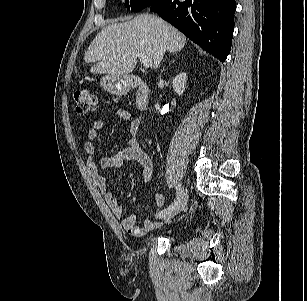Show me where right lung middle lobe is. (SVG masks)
Returning a JSON list of instances; mask_svg holds the SVG:
<instances>
[{"mask_svg": "<svg viewBox=\"0 0 307 301\" xmlns=\"http://www.w3.org/2000/svg\"><path fill=\"white\" fill-rule=\"evenodd\" d=\"M158 0H127L125 5L128 9H131L133 12L140 11L148 6L153 5Z\"/></svg>", "mask_w": 307, "mask_h": 301, "instance_id": "1", "label": "right lung middle lobe"}]
</instances>
